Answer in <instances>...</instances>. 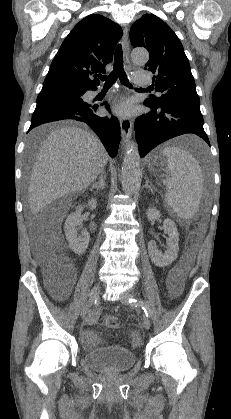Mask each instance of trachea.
<instances>
[{
    "instance_id": "trachea-1",
    "label": "trachea",
    "mask_w": 231,
    "mask_h": 419,
    "mask_svg": "<svg viewBox=\"0 0 231 419\" xmlns=\"http://www.w3.org/2000/svg\"><path fill=\"white\" fill-rule=\"evenodd\" d=\"M114 65H113V71L107 76V75H99L98 77L105 81V87H111L117 78H119L120 82L123 85L130 86V83L127 79V75L123 68V51L121 45H118L114 54Z\"/></svg>"
}]
</instances>
